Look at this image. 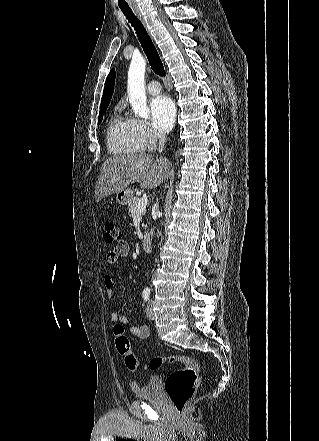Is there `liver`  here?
I'll use <instances>...</instances> for the list:
<instances>
[{"mask_svg":"<svg viewBox=\"0 0 319 441\" xmlns=\"http://www.w3.org/2000/svg\"><path fill=\"white\" fill-rule=\"evenodd\" d=\"M169 173L165 159L154 160L152 155H115L102 165L95 188V201L140 182L142 188L157 187Z\"/></svg>","mask_w":319,"mask_h":441,"instance_id":"obj_1","label":"liver"}]
</instances>
